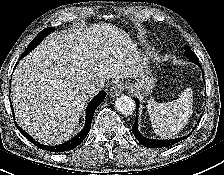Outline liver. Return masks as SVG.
<instances>
[{"label":"liver","instance_id":"obj_1","mask_svg":"<svg viewBox=\"0 0 224 175\" xmlns=\"http://www.w3.org/2000/svg\"><path fill=\"white\" fill-rule=\"evenodd\" d=\"M136 45L107 23L53 33L23 58L12 77L11 101L18 125L43 144L71 136L89 99L84 88L140 73Z\"/></svg>","mask_w":224,"mask_h":175}]
</instances>
